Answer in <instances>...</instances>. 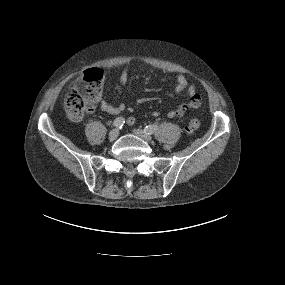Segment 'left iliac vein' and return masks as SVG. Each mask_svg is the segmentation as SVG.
<instances>
[{
	"instance_id": "1",
	"label": "left iliac vein",
	"mask_w": 285,
	"mask_h": 285,
	"mask_svg": "<svg viewBox=\"0 0 285 285\" xmlns=\"http://www.w3.org/2000/svg\"><path fill=\"white\" fill-rule=\"evenodd\" d=\"M134 134L140 138H142L143 140L145 141H151L152 140V137L147 134L145 131L141 130V129H134L133 130Z\"/></svg>"
}]
</instances>
